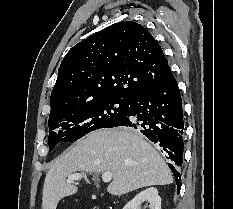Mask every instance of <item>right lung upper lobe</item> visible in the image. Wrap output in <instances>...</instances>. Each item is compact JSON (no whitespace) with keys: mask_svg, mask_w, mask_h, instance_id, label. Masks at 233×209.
<instances>
[{"mask_svg":"<svg viewBox=\"0 0 233 209\" xmlns=\"http://www.w3.org/2000/svg\"><path fill=\"white\" fill-rule=\"evenodd\" d=\"M170 73L160 45L146 28L133 21L118 22L66 54L51 93L50 113L108 98L130 101Z\"/></svg>","mask_w":233,"mask_h":209,"instance_id":"cb5924a9","label":"right lung upper lobe"}]
</instances>
